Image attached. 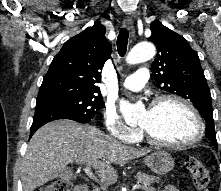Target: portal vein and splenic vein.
<instances>
[{
	"label": "portal vein and splenic vein",
	"mask_w": 221,
	"mask_h": 191,
	"mask_svg": "<svg viewBox=\"0 0 221 191\" xmlns=\"http://www.w3.org/2000/svg\"><path fill=\"white\" fill-rule=\"evenodd\" d=\"M85 172H86V174H87L88 176H90L91 178H93V174H92V172H91V164H88V166L85 168ZM140 187H141L140 184L134 185V189H138V188H140Z\"/></svg>",
	"instance_id": "portal-vein-and-splenic-vein-1"
}]
</instances>
